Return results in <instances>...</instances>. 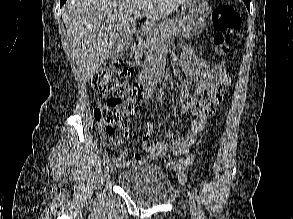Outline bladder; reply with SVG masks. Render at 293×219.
<instances>
[{
	"label": "bladder",
	"instance_id": "31cf9c89",
	"mask_svg": "<svg viewBox=\"0 0 293 219\" xmlns=\"http://www.w3.org/2000/svg\"><path fill=\"white\" fill-rule=\"evenodd\" d=\"M118 184L143 206L168 204L177 196L172 182L154 165H137L123 170L118 175Z\"/></svg>",
	"mask_w": 293,
	"mask_h": 219
}]
</instances>
